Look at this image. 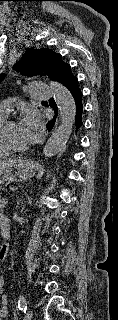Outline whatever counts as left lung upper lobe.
Here are the masks:
<instances>
[{"mask_svg": "<svg viewBox=\"0 0 118 320\" xmlns=\"http://www.w3.org/2000/svg\"><path fill=\"white\" fill-rule=\"evenodd\" d=\"M24 75L47 74L53 80L60 82L71 68L62 60V56L45 49H27L22 59L14 66ZM4 75H0V81Z\"/></svg>", "mask_w": 118, "mask_h": 320, "instance_id": "left-lung-upper-lobe-1", "label": "left lung upper lobe"}]
</instances>
